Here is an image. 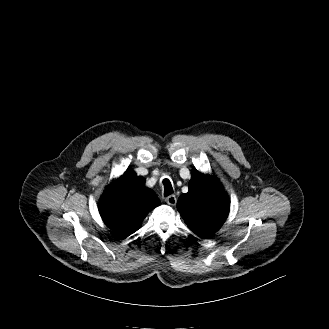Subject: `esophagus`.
Listing matches in <instances>:
<instances>
[{"label":"esophagus","mask_w":329,"mask_h":329,"mask_svg":"<svg viewBox=\"0 0 329 329\" xmlns=\"http://www.w3.org/2000/svg\"><path fill=\"white\" fill-rule=\"evenodd\" d=\"M165 201L167 202V204L174 206L177 202V198L175 195H170L166 197Z\"/></svg>","instance_id":"obj_1"}]
</instances>
